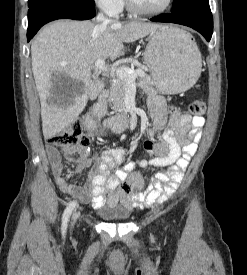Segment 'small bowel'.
<instances>
[{
  "label": "small bowel",
  "mask_w": 247,
  "mask_h": 275,
  "mask_svg": "<svg viewBox=\"0 0 247 275\" xmlns=\"http://www.w3.org/2000/svg\"><path fill=\"white\" fill-rule=\"evenodd\" d=\"M148 104L155 120V130H161L166 122H169L170 128L155 139L144 142L145 150L153 158L141 161L140 165L166 169L156 173L151 182L146 184L144 177L135 171V162L124 163L123 149L109 148L103 151L101 162L88 172L85 185L78 186L68 182L61 154L55 146L48 144L47 155L56 183L62 192L84 203H91L95 209L121 205L127 210L167 200L175 193L189 161L197 151L205 119L201 115L192 116L182 113L176 107H169L161 96H151ZM87 125L92 127L91 120H87ZM79 151L81 157L72 171L73 175L92 163L88 149L81 148ZM115 167L118 168L113 171Z\"/></svg>",
  "instance_id": "1"
}]
</instances>
